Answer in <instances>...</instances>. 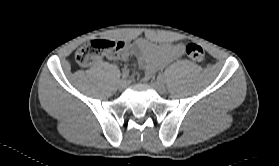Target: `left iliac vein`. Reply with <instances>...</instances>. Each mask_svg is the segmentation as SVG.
I'll list each match as a JSON object with an SVG mask.
<instances>
[{"mask_svg":"<svg viewBox=\"0 0 279 166\" xmlns=\"http://www.w3.org/2000/svg\"><path fill=\"white\" fill-rule=\"evenodd\" d=\"M153 87L155 90L160 93V94H165L166 93V87L160 80H156L155 82L152 83Z\"/></svg>","mask_w":279,"mask_h":166,"instance_id":"1","label":"left iliac vein"}]
</instances>
